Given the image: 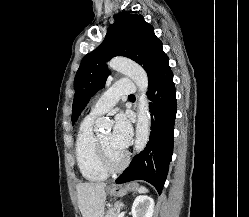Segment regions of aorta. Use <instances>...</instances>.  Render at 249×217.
Masks as SVG:
<instances>
[{
  "label": "aorta",
  "mask_w": 249,
  "mask_h": 217,
  "mask_svg": "<svg viewBox=\"0 0 249 217\" xmlns=\"http://www.w3.org/2000/svg\"><path fill=\"white\" fill-rule=\"evenodd\" d=\"M108 66L112 70L128 75L139 89L140 96L138 100V118L134 145L135 152L139 153L146 147L151 132L149 104L146 97V92L148 89L147 73L136 63L121 57L113 58L109 62ZM96 126L97 128L107 127L108 120L99 118L96 121Z\"/></svg>",
  "instance_id": "aorta-1"
}]
</instances>
